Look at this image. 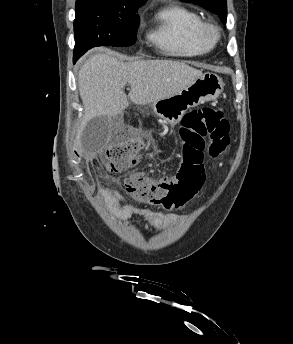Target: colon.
Returning <instances> with one entry per match:
<instances>
[{
	"instance_id": "obj_1",
	"label": "colon",
	"mask_w": 293,
	"mask_h": 344,
	"mask_svg": "<svg viewBox=\"0 0 293 344\" xmlns=\"http://www.w3.org/2000/svg\"><path fill=\"white\" fill-rule=\"evenodd\" d=\"M179 137L181 167L174 178H153L137 168L149 148L145 139H129L112 145L100 155L99 161L110 173L126 174L123 188L134 199L166 209L178 208L191 200L202 186L195 172L203 165L206 139L212 158L226 151L230 142L229 123L221 108L195 109L182 118Z\"/></svg>"
}]
</instances>
